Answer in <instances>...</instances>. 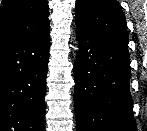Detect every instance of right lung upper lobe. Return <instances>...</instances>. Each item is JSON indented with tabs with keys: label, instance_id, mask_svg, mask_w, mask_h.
Listing matches in <instances>:
<instances>
[{
	"label": "right lung upper lobe",
	"instance_id": "right-lung-upper-lobe-1",
	"mask_svg": "<svg viewBox=\"0 0 147 131\" xmlns=\"http://www.w3.org/2000/svg\"><path fill=\"white\" fill-rule=\"evenodd\" d=\"M47 0H3L0 5V47L39 35L50 27Z\"/></svg>",
	"mask_w": 147,
	"mask_h": 131
}]
</instances>
